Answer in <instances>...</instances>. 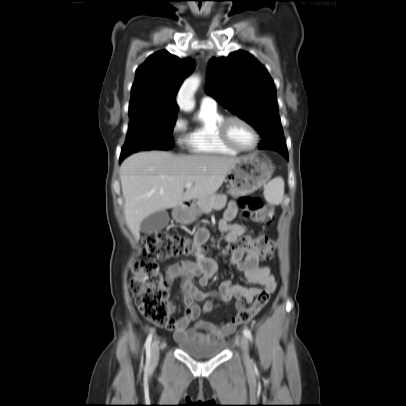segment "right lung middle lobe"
Here are the masks:
<instances>
[{"label": "right lung middle lobe", "mask_w": 406, "mask_h": 406, "mask_svg": "<svg viewBox=\"0 0 406 406\" xmlns=\"http://www.w3.org/2000/svg\"><path fill=\"white\" fill-rule=\"evenodd\" d=\"M177 115L149 112L129 113V128L120 158L141 150H169L174 142L171 136Z\"/></svg>", "instance_id": "dd1d6c3e"}]
</instances>
